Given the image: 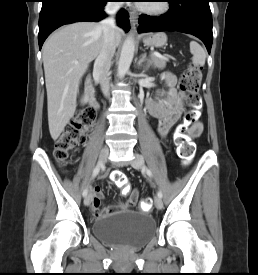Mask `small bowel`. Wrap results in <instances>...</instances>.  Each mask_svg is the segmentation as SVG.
<instances>
[{
	"label": "small bowel",
	"instance_id": "1",
	"mask_svg": "<svg viewBox=\"0 0 258 275\" xmlns=\"http://www.w3.org/2000/svg\"><path fill=\"white\" fill-rule=\"evenodd\" d=\"M162 79L166 84V91L163 97V91H158L157 96L148 101V110L150 115L158 121L157 132L162 138H166L171 128L177 123L182 115L184 107V94L178 92L175 88L176 78L170 72H164ZM203 129L201 122L195 123L188 132L189 138L197 137ZM91 210L95 217L112 215L119 211H129L138 201V191L131 192L130 198L125 202H119L115 205L100 208L104 190L96 186L91 194Z\"/></svg>",
	"mask_w": 258,
	"mask_h": 275
}]
</instances>
